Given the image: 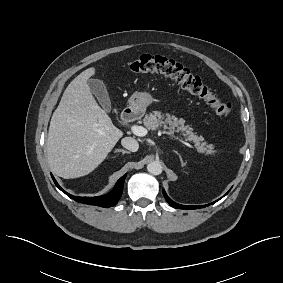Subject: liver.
I'll return each mask as SVG.
<instances>
[{
	"label": "liver",
	"mask_w": 283,
	"mask_h": 283,
	"mask_svg": "<svg viewBox=\"0 0 283 283\" xmlns=\"http://www.w3.org/2000/svg\"><path fill=\"white\" fill-rule=\"evenodd\" d=\"M94 74L91 67L72 80L50 121L48 163L65 179L92 172L123 136L90 91L87 81Z\"/></svg>",
	"instance_id": "1"
}]
</instances>
